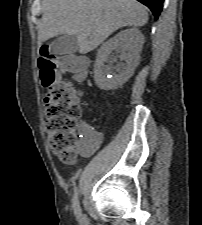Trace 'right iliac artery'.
Returning <instances> with one entry per match:
<instances>
[{
	"label": "right iliac artery",
	"mask_w": 202,
	"mask_h": 225,
	"mask_svg": "<svg viewBox=\"0 0 202 225\" xmlns=\"http://www.w3.org/2000/svg\"><path fill=\"white\" fill-rule=\"evenodd\" d=\"M73 209H74V213L76 215V217L81 220L82 219V212H81V208L79 205V200H78V189L75 188L74 191V195H73Z\"/></svg>",
	"instance_id": "right-iliac-artery-1"
}]
</instances>
